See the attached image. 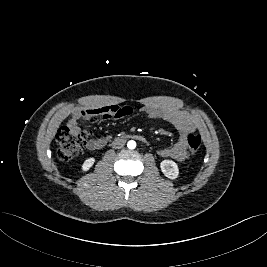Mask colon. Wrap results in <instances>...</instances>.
Listing matches in <instances>:
<instances>
[{
	"mask_svg": "<svg viewBox=\"0 0 267 267\" xmlns=\"http://www.w3.org/2000/svg\"><path fill=\"white\" fill-rule=\"evenodd\" d=\"M89 137L90 131L88 129H82L78 124L62 126L55 137L58 158L62 161L72 159L84 148ZM187 145L190 152H198L201 147V137L195 134L189 135Z\"/></svg>",
	"mask_w": 267,
	"mask_h": 267,
	"instance_id": "colon-1",
	"label": "colon"
}]
</instances>
